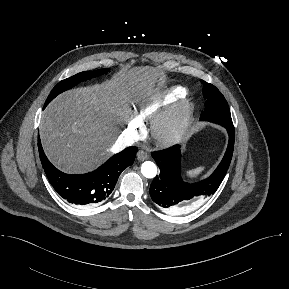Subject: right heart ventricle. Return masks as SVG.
Wrapping results in <instances>:
<instances>
[{"instance_id": "obj_1", "label": "right heart ventricle", "mask_w": 289, "mask_h": 289, "mask_svg": "<svg viewBox=\"0 0 289 289\" xmlns=\"http://www.w3.org/2000/svg\"><path fill=\"white\" fill-rule=\"evenodd\" d=\"M184 94L185 90L177 87L171 89L165 95L158 99L151 100L145 104L140 105L135 112L138 121H143L152 117L160 108L181 98Z\"/></svg>"}]
</instances>
